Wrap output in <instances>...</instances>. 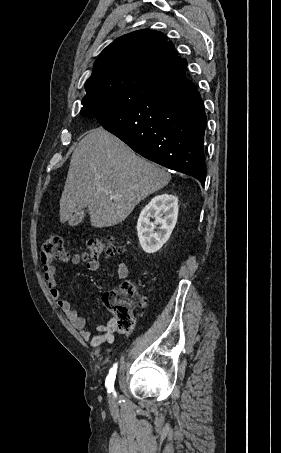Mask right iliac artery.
I'll list each match as a JSON object with an SVG mask.
<instances>
[{"instance_id": "right-iliac-artery-1", "label": "right iliac artery", "mask_w": 281, "mask_h": 453, "mask_svg": "<svg viewBox=\"0 0 281 453\" xmlns=\"http://www.w3.org/2000/svg\"><path fill=\"white\" fill-rule=\"evenodd\" d=\"M117 372V363L113 365V367L109 370V374L106 377L105 386L107 387L108 391L114 390V381Z\"/></svg>"}]
</instances>
